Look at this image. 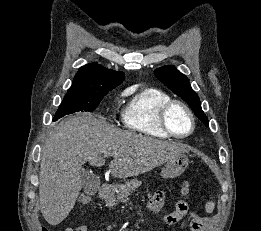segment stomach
<instances>
[{
  "instance_id": "obj_1",
  "label": "stomach",
  "mask_w": 261,
  "mask_h": 231,
  "mask_svg": "<svg viewBox=\"0 0 261 231\" xmlns=\"http://www.w3.org/2000/svg\"><path fill=\"white\" fill-rule=\"evenodd\" d=\"M188 163L189 159L184 153L174 156L166 162L164 168L161 170L160 176L162 178H175L180 176L187 168Z\"/></svg>"
}]
</instances>
